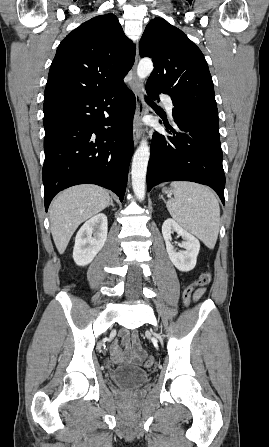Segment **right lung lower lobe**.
<instances>
[{
	"mask_svg": "<svg viewBox=\"0 0 269 447\" xmlns=\"http://www.w3.org/2000/svg\"><path fill=\"white\" fill-rule=\"evenodd\" d=\"M135 106V96L123 80L91 94L45 100L46 211L59 191L83 183L108 188L123 201L134 150Z\"/></svg>",
	"mask_w": 269,
	"mask_h": 447,
	"instance_id": "right-lung-lower-lobe-1",
	"label": "right lung lower lobe"
}]
</instances>
